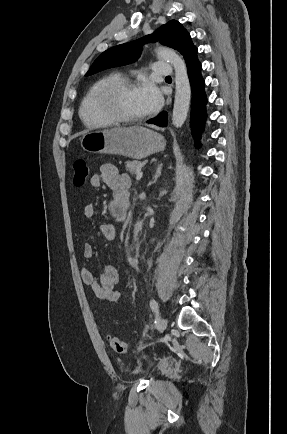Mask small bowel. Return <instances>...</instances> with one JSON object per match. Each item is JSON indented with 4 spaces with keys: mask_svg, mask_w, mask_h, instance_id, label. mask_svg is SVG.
Wrapping results in <instances>:
<instances>
[{
    "mask_svg": "<svg viewBox=\"0 0 287 434\" xmlns=\"http://www.w3.org/2000/svg\"><path fill=\"white\" fill-rule=\"evenodd\" d=\"M90 185L94 188L105 185L112 191L108 211L110 216L119 225L102 222L99 224V231L105 239L114 241L117 239L120 225L124 224L127 219L130 204V178L127 174L120 173L115 165L105 163L100 166L98 173L91 176ZM83 214L86 219H93L96 216V205L93 203L86 204ZM93 256V245L91 243H85L83 245V257L85 259H91ZM81 278L84 284L91 288L99 301L113 303L121 298V294L116 290L119 275L114 266L105 264L98 276L89 268L83 267L81 269Z\"/></svg>",
    "mask_w": 287,
    "mask_h": 434,
    "instance_id": "obj_1",
    "label": "small bowel"
}]
</instances>
